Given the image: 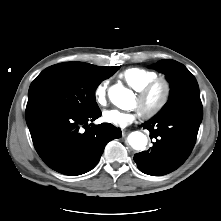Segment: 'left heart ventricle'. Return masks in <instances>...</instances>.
I'll return each mask as SVG.
<instances>
[{
  "label": "left heart ventricle",
  "instance_id": "left-heart-ventricle-1",
  "mask_svg": "<svg viewBox=\"0 0 221 221\" xmlns=\"http://www.w3.org/2000/svg\"><path fill=\"white\" fill-rule=\"evenodd\" d=\"M162 96V87L159 86L157 88H155L151 94L149 95V97L140 105L139 100L135 99V106L137 107H141L144 110H148L150 108H152L155 104L158 103V101L160 100Z\"/></svg>",
  "mask_w": 221,
  "mask_h": 221
}]
</instances>
